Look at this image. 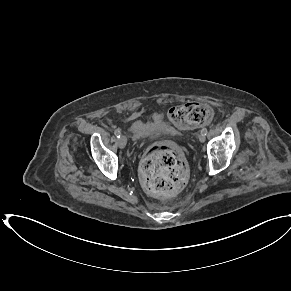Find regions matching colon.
<instances>
[{
  "label": "colon",
  "instance_id": "obj_1",
  "mask_svg": "<svg viewBox=\"0 0 291 291\" xmlns=\"http://www.w3.org/2000/svg\"><path fill=\"white\" fill-rule=\"evenodd\" d=\"M212 115L210 106L199 102L173 106L167 112L168 119L181 129L209 123ZM140 178L144 189L151 195L173 194L186 182L185 158L174 144H157L142 160Z\"/></svg>",
  "mask_w": 291,
  "mask_h": 291
}]
</instances>
